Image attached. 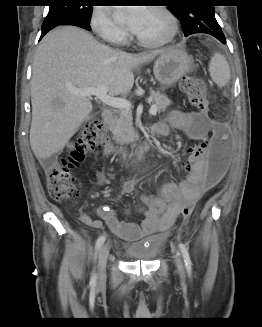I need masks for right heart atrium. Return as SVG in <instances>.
<instances>
[{"mask_svg": "<svg viewBox=\"0 0 262 327\" xmlns=\"http://www.w3.org/2000/svg\"><path fill=\"white\" fill-rule=\"evenodd\" d=\"M90 26L96 35L105 42L123 45L128 34L118 25L108 7H95L90 16Z\"/></svg>", "mask_w": 262, "mask_h": 327, "instance_id": "d8ad5b80", "label": "right heart atrium"}]
</instances>
